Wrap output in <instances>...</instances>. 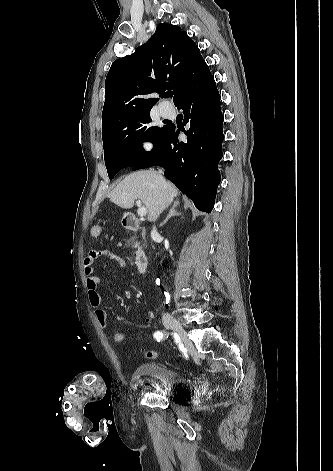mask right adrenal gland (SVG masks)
<instances>
[{"label":"right adrenal gland","mask_w":333,"mask_h":471,"mask_svg":"<svg viewBox=\"0 0 333 471\" xmlns=\"http://www.w3.org/2000/svg\"><path fill=\"white\" fill-rule=\"evenodd\" d=\"M179 204H180V203H179V201H177V200L173 202V205H172V207H171V209H170V211H169V214H168V216L166 217V219L163 221L162 224H165L171 217L177 216V215H180V214H181V213L177 212V210H176V208H177V206H178Z\"/></svg>","instance_id":"2a0ac1e0"}]
</instances>
